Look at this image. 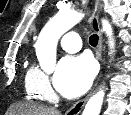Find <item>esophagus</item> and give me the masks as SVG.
Here are the masks:
<instances>
[{
  "label": "esophagus",
  "mask_w": 131,
  "mask_h": 115,
  "mask_svg": "<svg viewBox=\"0 0 131 115\" xmlns=\"http://www.w3.org/2000/svg\"><path fill=\"white\" fill-rule=\"evenodd\" d=\"M99 10H100V1L96 0L94 3V12L91 17V23H92L93 29L97 32V34L99 36L98 46H97V50H96V57L99 61H101L103 38H102V32H101V28L99 25V19H98ZM90 95H91V92L84 99L78 101L72 107H70L66 111L65 115H78L81 112V110L83 109V107L86 104L87 100L89 99Z\"/></svg>",
  "instance_id": "1"
}]
</instances>
